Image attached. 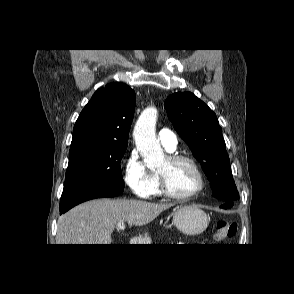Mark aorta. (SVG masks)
Wrapping results in <instances>:
<instances>
[{"label":"aorta","mask_w":294,"mask_h":294,"mask_svg":"<svg viewBox=\"0 0 294 294\" xmlns=\"http://www.w3.org/2000/svg\"><path fill=\"white\" fill-rule=\"evenodd\" d=\"M157 109L146 108L139 116L134 127L133 136L147 167L154 169L164 162V152L156 138Z\"/></svg>","instance_id":"762f6f07"}]
</instances>
